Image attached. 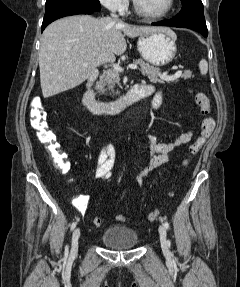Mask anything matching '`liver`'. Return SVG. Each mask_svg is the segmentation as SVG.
Masks as SVG:
<instances>
[{
	"label": "liver",
	"mask_w": 240,
	"mask_h": 287,
	"mask_svg": "<svg viewBox=\"0 0 240 287\" xmlns=\"http://www.w3.org/2000/svg\"><path fill=\"white\" fill-rule=\"evenodd\" d=\"M162 26H135L110 17H65L43 32L39 51L40 83L44 98L82 84L101 64L113 62L127 48L125 36L168 31Z\"/></svg>",
	"instance_id": "6515ba94"
}]
</instances>
